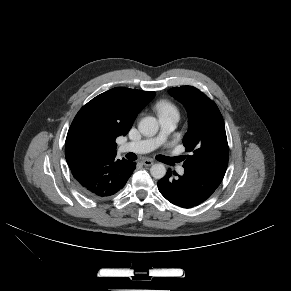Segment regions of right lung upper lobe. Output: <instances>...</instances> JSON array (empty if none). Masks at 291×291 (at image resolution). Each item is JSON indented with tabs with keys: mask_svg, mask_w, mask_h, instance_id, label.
Returning <instances> with one entry per match:
<instances>
[{
	"mask_svg": "<svg viewBox=\"0 0 291 291\" xmlns=\"http://www.w3.org/2000/svg\"><path fill=\"white\" fill-rule=\"evenodd\" d=\"M154 94L116 87L84 105L75 116L66 137L68 166L71 168L96 156L116 155L115 139L129 132L138 113Z\"/></svg>",
	"mask_w": 291,
	"mask_h": 291,
	"instance_id": "1",
	"label": "right lung upper lobe"
}]
</instances>
